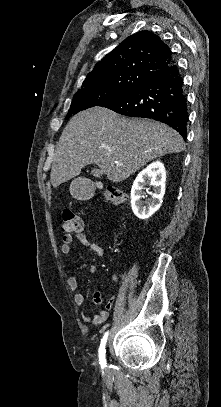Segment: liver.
<instances>
[{
    "mask_svg": "<svg viewBox=\"0 0 221 407\" xmlns=\"http://www.w3.org/2000/svg\"><path fill=\"white\" fill-rule=\"evenodd\" d=\"M185 149L181 135L148 119H128L93 107L73 116L56 145L50 172L57 188L89 165L99 166L112 182H122L151 160Z\"/></svg>",
    "mask_w": 221,
    "mask_h": 407,
    "instance_id": "obj_1",
    "label": "liver"
}]
</instances>
